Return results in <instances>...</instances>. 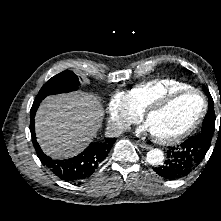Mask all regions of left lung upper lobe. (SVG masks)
<instances>
[{"label": "left lung upper lobe", "instance_id": "1", "mask_svg": "<svg viewBox=\"0 0 221 221\" xmlns=\"http://www.w3.org/2000/svg\"><path fill=\"white\" fill-rule=\"evenodd\" d=\"M203 89L209 98V104H208V112L204 118L201 133L199 134V138H202V139L205 138L206 141H208L209 146H210L212 136L215 131V113H214V107H213V99L208 89L204 85H203Z\"/></svg>", "mask_w": 221, "mask_h": 221}]
</instances>
